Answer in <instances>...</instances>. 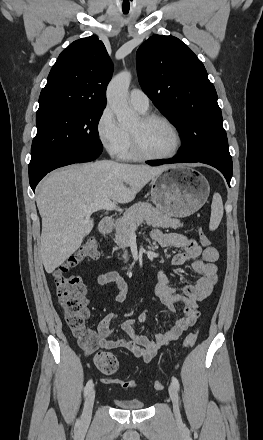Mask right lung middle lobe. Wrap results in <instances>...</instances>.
Here are the masks:
<instances>
[{
	"label": "right lung middle lobe",
	"instance_id": "1",
	"mask_svg": "<svg viewBox=\"0 0 263 440\" xmlns=\"http://www.w3.org/2000/svg\"><path fill=\"white\" fill-rule=\"evenodd\" d=\"M103 109L85 107L38 110L29 176L62 154L70 160H77L83 149L100 146L97 125Z\"/></svg>",
	"mask_w": 263,
	"mask_h": 440
}]
</instances>
